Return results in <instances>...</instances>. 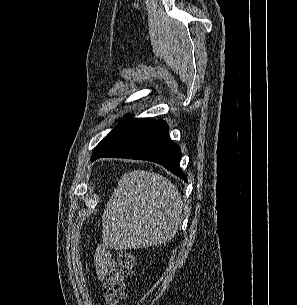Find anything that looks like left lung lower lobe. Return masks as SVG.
Returning a JSON list of instances; mask_svg holds the SVG:
<instances>
[{
    "label": "left lung lower lobe",
    "instance_id": "1",
    "mask_svg": "<svg viewBox=\"0 0 297 305\" xmlns=\"http://www.w3.org/2000/svg\"><path fill=\"white\" fill-rule=\"evenodd\" d=\"M101 157L156 162L187 182L180 168L181 149L171 141L163 120L131 119V114H126L94 151L91 161Z\"/></svg>",
    "mask_w": 297,
    "mask_h": 305
}]
</instances>
